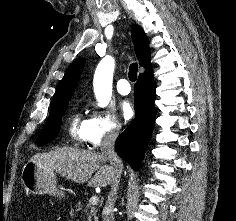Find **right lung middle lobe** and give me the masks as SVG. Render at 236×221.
I'll use <instances>...</instances> for the list:
<instances>
[{
  "mask_svg": "<svg viewBox=\"0 0 236 221\" xmlns=\"http://www.w3.org/2000/svg\"><path fill=\"white\" fill-rule=\"evenodd\" d=\"M67 105L68 102H65L50 109V115L47 122L36 140V144L38 146L49 143L57 137L62 123V116L67 108Z\"/></svg>",
  "mask_w": 236,
  "mask_h": 221,
  "instance_id": "right-lung-middle-lobe-1",
  "label": "right lung middle lobe"
}]
</instances>
